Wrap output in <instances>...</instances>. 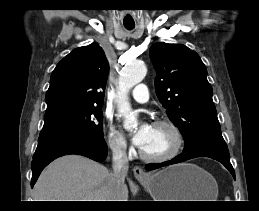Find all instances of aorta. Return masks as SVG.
<instances>
[{
	"instance_id": "1",
	"label": "aorta",
	"mask_w": 259,
	"mask_h": 211,
	"mask_svg": "<svg viewBox=\"0 0 259 211\" xmlns=\"http://www.w3.org/2000/svg\"><path fill=\"white\" fill-rule=\"evenodd\" d=\"M146 65L141 61H133L127 64L121 71L119 76V95H118V111L124 117L125 129L134 127L137 122V116L131 111L130 104L127 99L129 90L140 83L146 76Z\"/></svg>"
}]
</instances>
